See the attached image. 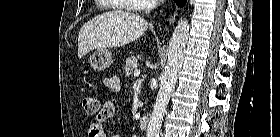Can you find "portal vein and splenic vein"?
<instances>
[{
	"label": "portal vein and splenic vein",
	"instance_id": "portal-vein-and-splenic-vein-1",
	"mask_svg": "<svg viewBox=\"0 0 280 137\" xmlns=\"http://www.w3.org/2000/svg\"><path fill=\"white\" fill-rule=\"evenodd\" d=\"M139 75H140V70L136 69V70L134 71V76H139Z\"/></svg>",
	"mask_w": 280,
	"mask_h": 137
}]
</instances>
